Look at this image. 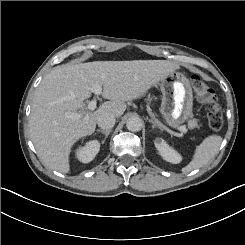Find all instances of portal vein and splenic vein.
<instances>
[{"mask_svg": "<svg viewBox=\"0 0 245 245\" xmlns=\"http://www.w3.org/2000/svg\"><path fill=\"white\" fill-rule=\"evenodd\" d=\"M91 91L95 94V95H100L102 93V86L101 85H94L92 88H91ZM88 109L93 111L96 109V100H92L89 102L88 104ZM65 115L67 117H70L71 119H79L81 116L80 114L78 113H69V112H66ZM178 130L181 131L182 133H187V128L186 126H179L178 127Z\"/></svg>", "mask_w": 245, "mask_h": 245, "instance_id": "portal-vein-and-splenic-vein-1", "label": "portal vein and splenic vein"}]
</instances>
